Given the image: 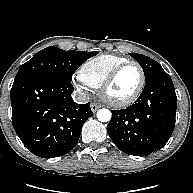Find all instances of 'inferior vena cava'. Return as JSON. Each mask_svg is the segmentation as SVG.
<instances>
[{
  "mask_svg": "<svg viewBox=\"0 0 193 193\" xmlns=\"http://www.w3.org/2000/svg\"><path fill=\"white\" fill-rule=\"evenodd\" d=\"M72 97L75 102L80 104L87 103L89 101V94L82 90L74 91Z\"/></svg>",
  "mask_w": 193,
  "mask_h": 193,
  "instance_id": "obj_1",
  "label": "inferior vena cava"
}]
</instances>
